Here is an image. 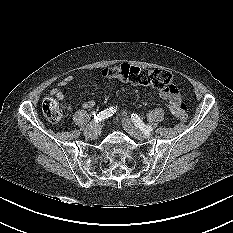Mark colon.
Masks as SVG:
<instances>
[{"label":"colon","instance_id":"obj_1","mask_svg":"<svg viewBox=\"0 0 233 233\" xmlns=\"http://www.w3.org/2000/svg\"><path fill=\"white\" fill-rule=\"evenodd\" d=\"M102 74L109 80H119L133 85L151 86L159 91L176 90L172 74L163 69L146 70L129 64H121L104 69ZM41 108L43 115L49 122L56 124L63 119V105L53 98H45ZM180 108V119L186 120L185 105L181 103Z\"/></svg>","mask_w":233,"mask_h":233}]
</instances>
